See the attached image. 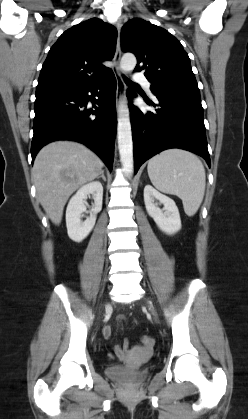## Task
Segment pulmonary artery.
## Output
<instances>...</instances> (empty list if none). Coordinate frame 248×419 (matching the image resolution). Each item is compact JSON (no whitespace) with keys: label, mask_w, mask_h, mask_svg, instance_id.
I'll list each match as a JSON object with an SVG mask.
<instances>
[{"label":"pulmonary artery","mask_w":248,"mask_h":419,"mask_svg":"<svg viewBox=\"0 0 248 419\" xmlns=\"http://www.w3.org/2000/svg\"><path fill=\"white\" fill-rule=\"evenodd\" d=\"M134 80L140 84H142L143 86L146 87V89H150L151 83L146 79V77L144 76V74L139 73V72H135L134 74Z\"/></svg>","instance_id":"e3ab8cb5"}]
</instances>
